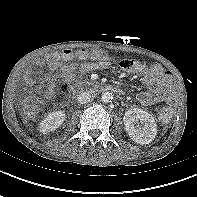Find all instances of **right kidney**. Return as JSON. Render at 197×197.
Returning a JSON list of instances; mask_svg holds the SVG:
<instances>
[{
	"label": "right kidney",
	"instance_id": "right-kidney-1",
	"mask_svg": "<svg viewBox=\"0 0 197 197\" xmlns=\"http://www.w3.org/2000/svg\"><path fill=\"white\" fill-rule=\"evenodd\" d=\"M65 118V112L62 110L54 111L48 114L40 123V131L47 133L56 130L59 126H61Z\"/></svg>",
	"mask_w": 197,
	"mask_h": 197
}]
</instances>
